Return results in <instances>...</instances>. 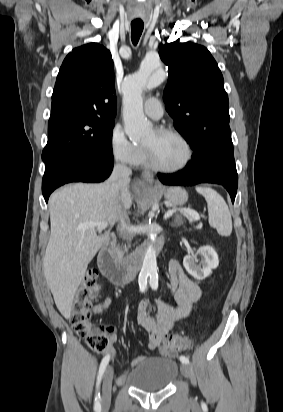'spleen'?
Returning <instances> with one entry per match:
<instances>
[{
  "label": "spleen",
  "instance_id": "obj_1",
  "mask_svg": "<svg viewBox=\"0 0 283 412\" xmlns=\"http://www.w3.org/2000/svg\"><path fill=\"white\" fill-rule=\"evenodd\" d=\"M196 190L204 196L207 202L209 224L216 228L219 235L230 236L232 233V219L225 200L211 188L197 187Z\"/></svg>",
  "mask_w": 283,
  "mask_h": 412
}]
</instances>
